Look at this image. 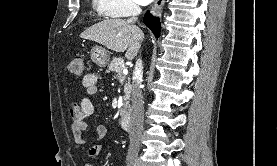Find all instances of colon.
Returning a JSON list of instances; mask_svg holds the SVG:
<instances>
[{
    "instance_id": "obj_1",
    "label": "colon",
    "mask_w": 277,
    "mask_h": 166,
    "mask_svg": "<svg viewBox=\"0 0 277 166\" xmlns=\"http://www.w3.org/2000/svg\"><path fill=\"white\" fill-rule=\"evenodd\" d=\"M70 73L81 76L84 73V61L81 55L74 56L68 63Z\"/></svg>"
}]
</instances>
